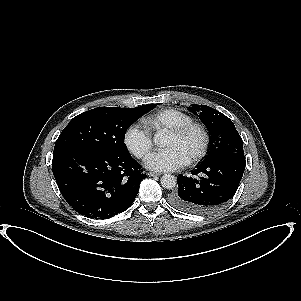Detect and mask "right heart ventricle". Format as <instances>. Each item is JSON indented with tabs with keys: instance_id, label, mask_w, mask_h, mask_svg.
I'll list each match as a JSON object with an SVG mask.
<instances>
[{
	"instance_id": "e07e8e85",
	"label": "right heart ventricle",
	"mask_w": 301,
	"mask_h": 301,
	"mask_svg": "<svg viewBox=\"0 0 301 301\" xmlns=\"http://www.w3.org/2000/svg\"><path fill=\"white\" fill-rule=\"evenodd\" d=\"M192 122V118L176 109L162 111L146 120L148 129L155 135L174 129Z\"/></svg>"
}]
</instances>
